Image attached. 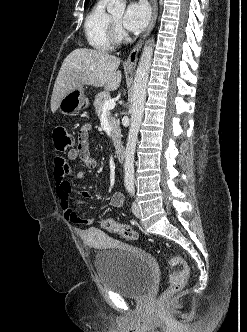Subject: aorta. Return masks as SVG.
I'll use <instances>...</instances> for the list:
<instances>
[{"instance_id": "aorta-1", "label": "aorta", "mask_w": 247, "mask_h": 332, "mask_svg": "<svg viewBox=\"0 0 247 332\" xmlns=\"http://www.w3.org/2000/svg\"><path fill=\"white\" fill-rule=\"evenodd\" d=\"M123 0H114L107 8L113 15H122L125 11ZM153 55V39L145 45L137 67L131 108V125L129 129L126 151H125V187L134 189V155L138 132L144 115V105L146 101L147 83Z\"/></svg>"}]
</instances>
